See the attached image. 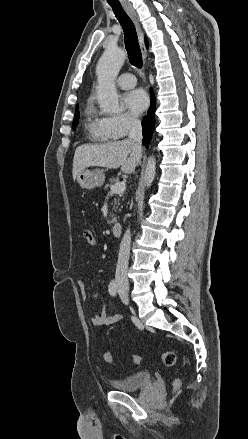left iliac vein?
<instances>
[{
	"label": "left iliac vein",
	"instance_id": "left-iliac-vein-1",
	"mask_svg": "<svg viewBox=\"0 0 248 439\" xmlns=\"http://www.w3.org/2000/svg\"><path fill=\"white\" fill-rule=\"evenodd\" d=\"M121 299H122V301L125 303V304H127L128 303V299L127 298H125L122 294H121Z\"/></svg>",
	"mask_w": 248,
	"mask_h": 439
}]
</instances>
